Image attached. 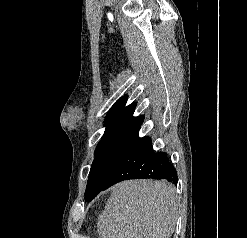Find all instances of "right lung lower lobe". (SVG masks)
I'll return each mask as SVG.
<instances>
[{
	"label": "right lung lower lobe",
	"instance_id": "1",
	"mask_svg": "<svg viewBox=\"0 0 247 238\" xmlns=\"http://www.w3.org/2000/svg\"><path fill=\"white\" fill-rule=\"evenodd\" d=\"M139 178L166 179L177 183L175 168L164 152H154L149 137H137L127 152L114 167L102 190L113 184Z\"/></svg>",
	"mask_w": 247,
	"mask_h": 238
}]
</instances>
